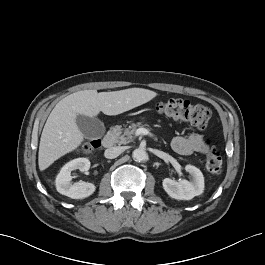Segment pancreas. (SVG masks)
Instances as JSON below:
<instances>
[{"instance_id": "pancreas-1", "label": "pancreas", "mask_w": 265, "mask_h": 265, "mask_svg": "<svg viewBox=\"0 0 265 265\" xmlns=\"http://www.w3.org/2000/svg\"><path fill=\"white\" fill-rule=\"evenodd\" d=\"M141 127L140 124H131L128 128L122 129L120 127L112 130L115 135V142L118 144H128L134 140V134L137 128Z\"/></svg>"}]
</instances>
